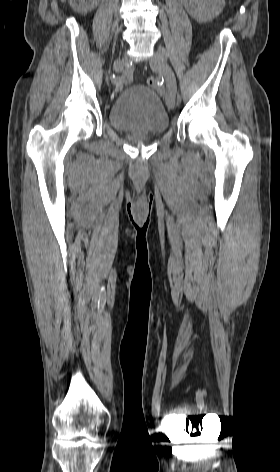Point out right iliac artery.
<instances>
[{"mask_svg": "<svg viewBox=\"0 0 280 472\" xmlns=\"http://www.w3.org/2000/svg\"><path fill=\"white\" fill-rule=\"evenodd\" d=\"M133 71H134V66L132 64V61L128 62L126 64V69H125V76H126L127 81H130L132 79Z\"/></svg>", "mask_w": 280, "mask_h": 472, "instance_id": "obj_1", "label": "right iliac artery"}]
</instances>
